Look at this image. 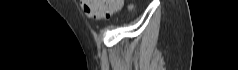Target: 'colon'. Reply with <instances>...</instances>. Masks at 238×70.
<instances>
[{
    "label": "colon",
    "instance_id": "5ec220e1",
    "mask_svg": "<svg viewBox=\"0 0 238 70\" xmlns=\"http://www.w3.org/2000/svg\"><path fill=\"white\" fill-rule=\"evenodd\" d=\"M123 0H81L85 13L94 19L110 17L114 12H120Z\"/></svg>",
    "mask_w": 238,
    "mask_h": 70
}]
</instances>
